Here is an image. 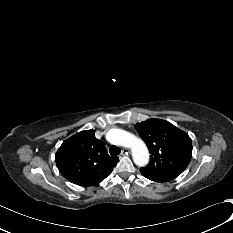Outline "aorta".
<instances>
[{"label": "aorta", "mask_w": 233, "mask_h": 233, "mask_svg": "<svg viewBox=\"0 0 233 233\" xmlns=\"http://www.w3.org/2000/svg\"><path fill=\"white\" fill-rule=\"evenodd\" d=\"M108 140L118 146L130 148L133 161L137 166H146L149 162V151L146 144L135 135L122 129H111L107 133Z\"/></svg>", "instance_id": "762f6f07"}]
</instances>
